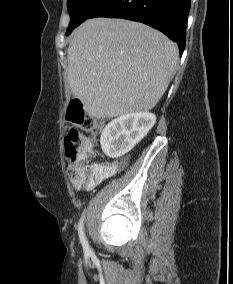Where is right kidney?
Returning a JSON list of instances; mask_svg holds the SVG:
<instances>
[{"instance_id": "right-kidney-1", "label": "right kidney", "mask_w": 233, "mask_h": 284, "mask_svg": "<svg viewBox=\"0 0 233 284\" xmlns=\"http://www.w3.org/2000/svg\"><path fill=\"white\" fill-rule=\"evenodd\" d=\"M156 116L152 113H129L112 120L103 130L100 144L103 152L118 158L129 152L154 126Z\"/></svg>"}]
</instances>
